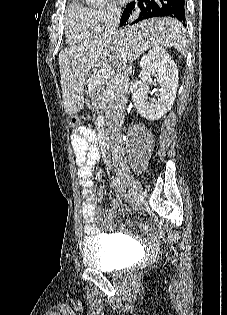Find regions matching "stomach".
Returning a JSON list of instances; mask_svg holds the SVG:
<instances>
[{
    "label": "stomach",
    "mask_w": 227,
    "mask_h": 315,
    "mask_svg": "<svg viewBox=\"0 0 227 315\" xmlns=\"http://www.w3.org/2000/svg\"><path fill=\"white\" fill-rule=\"evenodd\" d=\"M96 76L97 73L95 71H91L89 75L85 77V80L82 82L85 91H94L95 86L92 82V78H95Z\"/></svg>",
    "instance_id": "stomach-1"
}]
</instances>
